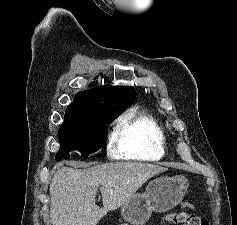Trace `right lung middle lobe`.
Here are the masks:
<instances>
[{
    "label": "right lung middle lobe",
    "instance_id": "1",
    "mask_svg": "<svg viewBox=\"0 0 237 225\" xmlns=\"http://www.w3.org/2000/svg\"><path fill=\"white\" fill-rule=\"evenodd\" d=\"M119 114L110 111L97 112L89 122L76 123L64 121L59 130L60 149L56 161L69 158L68 153L78 150L85 157L98 151L106 142L108 128Z\"/></svg>",
    "mask_w": 237,
    "mask_h": 225
}]
</instances>
